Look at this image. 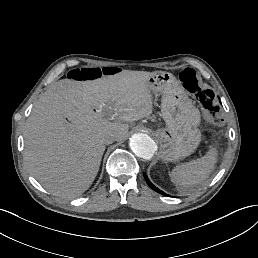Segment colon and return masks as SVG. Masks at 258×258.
I'll list each match as a JSON object with an SVG mask.
<instances>
[{"mask_svg":"<svg viewBox=\"0 0 258 258\" xmlns=\"http://www.w3.org/2000/svg\"><path fill=\"white\" fill-rule=\"evenodd\" d=\"M120 72L116 67H83L71 70L68 77L73 81L86 82L93 81L105 76H114ZM180 81L188 92H190L198 101L200 106L207 112L213 114L216 112L214 92L202 85L197 73L191 69H184L180 73Z\"/></svg>","mask_w":258,"mask_h":258,"instance_id":"1","label":"colon"}]
</instances>
